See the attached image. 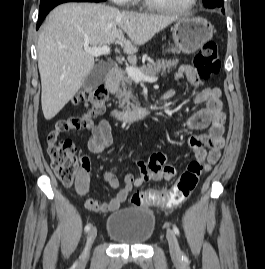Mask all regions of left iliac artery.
Listing matches in <instances>:
<instances>
[{"mask_svg": "<svg viewBox=\"0 0 265 269\" xmlns=\"http://www.w3.org/2000/svg\"><path fill=\"white\" fill-rule=\"evenodd\" d=\"M173 231H174V233H175L177 236L180 235V231H179V229H178L177 226H173ZM182 259L187 260V257H186L185 255H183V256H182Z\"/></svg>", "mask_w": 265, "mask_h": 269, "instance_id": "44dca946", "label": "left iliac artery"}]
</instances>
